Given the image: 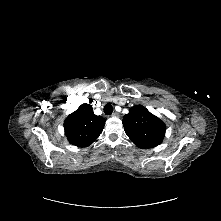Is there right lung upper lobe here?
Listing matches in <instances>:
<instances>
[{
    "label": "right lung upper lobe",
    "mask_w": 221,
    "mask_h": 221,
    "mask_svg": "<svg viewBox=\"0 0 221 221\" xmlns=\"http://www.w3.org/2000/svg\"><path fill=\"white\" fill-rule=\"evenodd\" d=\"M105 119L96 116L89 104H82L64 121L68 141L78 147L91 145L103 131Z\"/></svg>",
    "instance_id": "right-lung-upper-lobe-1"
}]
</instances>
